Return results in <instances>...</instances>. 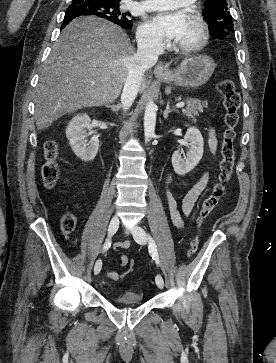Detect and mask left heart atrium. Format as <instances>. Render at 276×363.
Segmentation results:
<instances>
[{"instance_id": "left-heart-atrium-1", "label": "left heart atrium", "mask_w": 276, "mask_h": 363, "mask_svg": "<svg viewBox=\"0 0 276 363\" xmlns=\"http://www.w3.org/2000/svg\"><path fill=\"white\" fill-rule=\"evenodd\" d=\"M187 15L183 11L161 12L153 17V27L168 40L178 41L182 36Z\"/></svg>"}]
</instances>
